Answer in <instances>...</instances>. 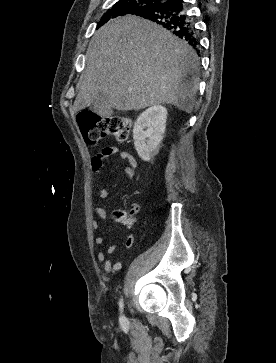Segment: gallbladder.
I'll return each mask as SVG.
<instances>
[{
    "label": "gallbladder",
    "instance_id": "1",
    "mask_svg": "<svg viewBox=\"0 0 276 363\" xmlns=\"http://www.w3.org/2000/svg\"><path fill=\"white\" fill-rule=\"evenodd\" d=\"M91 109L94 113L103 118H108L113 113V108L109 105L108 99L102 93L98 94L97 98L92 103Z\"/></svg>",
    "mask_w": 276,
    "mask_h": 363
}]
</instances>
